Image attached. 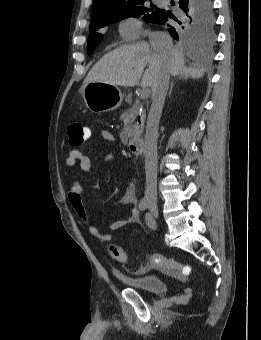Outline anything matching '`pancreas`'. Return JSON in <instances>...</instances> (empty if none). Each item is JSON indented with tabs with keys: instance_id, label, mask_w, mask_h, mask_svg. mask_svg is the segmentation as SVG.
<instances>
[{
	"instance_id": "cf45deb5",
	"label": "pancreas",
	"mask_w": 261,
	"mask_h": 340,
	"mask_svg": "<svg viewBox=\"0 0 261 340\" xmlns=\"http://www.w3.org/2000/svg\"><path fill=\"white\" fill-rule=\"evenodd\" d=\"M137 117H138L137 105H133L130 109H128L121 115V119L124 122V128L120 134L122 143L127 144L129 139L141 134L143 124L142 123L139 124L137 122ZM142 120H144V116L142 117Z\"/></svg>"
}]
</instances>
